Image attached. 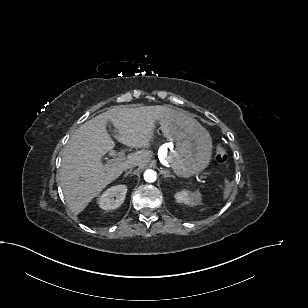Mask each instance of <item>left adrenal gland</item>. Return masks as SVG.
<instances>
[{
    "label": "left adrenal gland",
    "instance_id": "a2214340",
    "mask_svg": "<svg viewBox=\"0 0 308 308\" xmlns=\"http://www.w3.org/2000/svg\"><path fill=\"white\" fill-rule=\"evenodd\" d=\"M161 174L164 175V178H167V177H172V178H175L174 175H171L170 172L168 170H161Z\"/></svg>",
    "mask_w": 308,
    "mask_h": 308
}]
</instances>
